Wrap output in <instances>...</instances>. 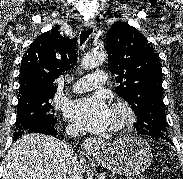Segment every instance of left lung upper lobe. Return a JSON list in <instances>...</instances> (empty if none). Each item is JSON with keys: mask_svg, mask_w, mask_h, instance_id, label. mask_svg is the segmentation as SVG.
Masks as SVG:
<instances>
[{"mask_svg": "<svg viewBox=\"0 0 183 179\" xmlns=\"http://www.w3.org/2000/svg\"><path fill=\"white\" fill-rule=\"evenodd\" d=\"M109 70L116 74L117 94L137 116L139 134L168 137L162 100V72L151 43L127 22H116L106 35Z\"/></svg>", "mask_w": 183, "mask_h": 179, "instance_id": "left-lung-upper-lobe-1", "label": "left lung upper lobe"}]
</instances>
